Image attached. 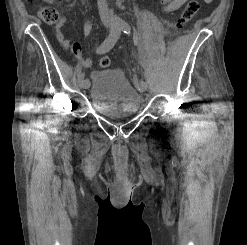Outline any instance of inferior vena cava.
Wrapping results in <instances>:
<instances>
[{
	"label": "inferior vena cava",
	"instance_id": "obj_1",
	"mask_svg": "<svg viewBox=\"0 0 247 245\" xmlns=\"http://www.w3.org/2000/svg\"><path fill=\"white\" fill-rule=\"evenodd\" d=\"M99 15L104 25H109V14L106 0H97Z\"/></svg>",
	"mask_w": 247,
	"mask_h": 245
}]
</instances>
